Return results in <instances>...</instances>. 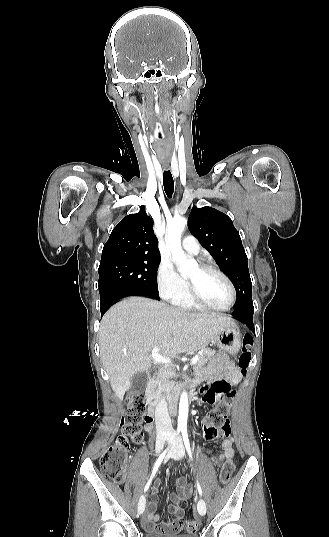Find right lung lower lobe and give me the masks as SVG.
<instances>
[{"label":"right lung lower lobe","instance_id":"right-lung-lower-lobe-1","mask_svg":"<svg viewBox=\"0 0 329 537\" xmlns=\"http://www.w3.org/2000/svg\"><path fill=\"white\" fill-rule=\"evenodd\" d=\"M100 296H101V304H100V311L101 316L104 315L106 310L115 302H117L119 299L127 296H147L154 299H159V294H154L152 292H148L141 289H134V288H127V287H121V286H104L102 288H99Z\"/></svg>","mask_w":329,"mask_h":537}]
</instances>
